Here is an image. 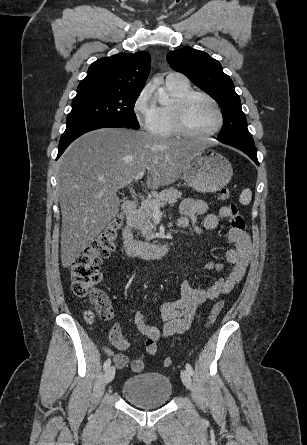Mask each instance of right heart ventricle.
Wrapping results in <instances>:
<instances>
[{"instance_id": "e07e8e85", "label": "right heart ventricle", "mask_w": 307, "mask_h": 445, "mask_svg": "<svg viewBox=\"0 0 307 445\" xmlns=\"http://www.w3.org/2000/svg\"><path fill=\"white\" fill-rule=\"evenodd\" d=\"M191 91L192 88L186 81L168 79L166 82V93L169 97V102L182 98ZM155 104L159 115V122L155 132L162 136L158 140H178L170 137L178 132L170 117L168 104L161 103L157 96H155Z\"/></svg>"}]
</instances>
